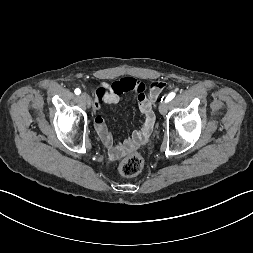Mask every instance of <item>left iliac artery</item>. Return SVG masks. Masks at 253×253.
Returning <instances> with one entry per match:
<instances>
[{
	"instance_id": "1",
	"label": "left iliac artery",
	"mask_w": 253,
	"mask_h": 253,
	"mask_svg": "<svg viewBox=\"0 0 253 253\" xmlns=\"http://www.w3.org/2000/svg\"><path fill=\"white\" fill-rule=\"evenodd\" d=\"M175 95L176 94L174 92L169 93L168 96L166 97L165 101L166 102L171 101L175 97Z\"/></svg>"
}]
</instances>
